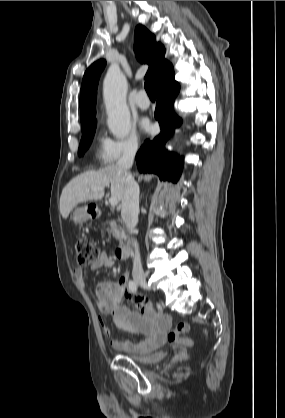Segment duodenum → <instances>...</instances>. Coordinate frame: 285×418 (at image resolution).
Wrapping results in <instances>:
<instances>
[{
    "label": "duodenum",
    "instance_id": "obj_1",
    "mask_svg": "<svg viewBox=\"0 0 285 418\" xmlns=\"http://www.w3.org/2000/svg\"><path fill=\"white\" fill-rule=\"evenodd\" d=\"M131 252H132L131 244H130L128 237H126V243H124L123 245L117 248L116 256L120 260H127L130 257Z\"/></svg>",
    "mask_w": 285,
    "mask_h": 418
}]
</instances>
